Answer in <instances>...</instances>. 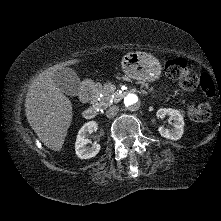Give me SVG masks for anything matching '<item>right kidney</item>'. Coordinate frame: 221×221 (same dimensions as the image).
I'll list each match as a JSON object with an SVG mask.
<instances>
[{"mask_svg":"<svg viewBox=\"0 0 221 221\" xmlns=\"http://www.w3.org/2000/svg\"><path fill=\"white\" fill-rule=\"evenodd\" d=\"M98 129V124L95 121H89L85 123L78 132L75 142L76 155L81 159H89L96 156L101 146L98 143H94L92 147H86L90 140L86 137L87 133H91Z\"/></svg>","mask_w":221,"mask_h":221,"instance_id":"obj_1","label":"right kidney"}]
</instances>
